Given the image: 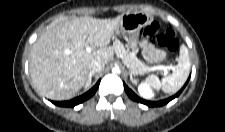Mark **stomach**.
<instances>
[{
	"label": "stomach",
	"mask_w": 225,
	"mask_h": 132,
	"mask_svg": "<svg viewBox=\"0 0 225 132\" xmlns=\"http://www.w3.org/2000/svg\"><path fill=\"white\" fill-rule=\"evenodd\" d=\"M149 23V16L144 13H127L123 15V18L116 29V33L113 36L116 37L119 34H127L129 36L130 47L136 52L138 43V33L142 27Z\"/></svg>",
	"instance_id": "0dacf381"
}]
</instances>
